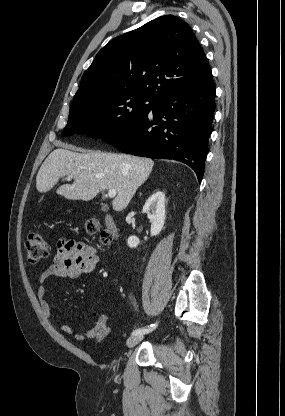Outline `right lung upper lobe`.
<instances>
[{
  "label": "right lung upper lobe",
  "mask_w": 285,
  "mask_h": 416,
  "mask_svg": "<svg viewBox=\"0 0 285 416\" xmlns=\"http://www.w3.org/2000/svg\"><path fill=\"white\" fill-rule=\"evenodd\" d=\"M211 78L190 26L165 15L114 38L98 52L81 78L70 111L128 96L158 103Z\"/></svg>",
  "instance_id": "1"
}]
</instances>
